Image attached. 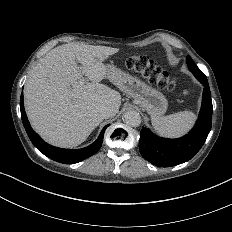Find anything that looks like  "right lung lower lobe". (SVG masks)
I'll return each mask as SVG.
<instances>
[{
    "instance_id": "obj_1",
    "label": "right lung lower lobe",
    "mask_w": 232,
    "mask_h": 232,
    "mask_svg": "<svg viewBox=\"0 0 232 232\" xmlns=\"http://www.w3.org/2000/svg\"><path fill=\"white\" fill-rule=\"evenodd\" d=\"M20 109H21V118H22L24 128L30 140L32 141L33 145L48 158L54 161L60 162V163H64V164L77 163L94 155L100 149L102 142H103L105 130L109 126V125H106L102 129L97 140L88 147H85L83 149H78V150L62 149V148H57V147L47 144L39 137L37 133H35L32 130L30 123L28 121V118L26 116L25 110H24L23 93L21 94V99H20Z\"/></svg>"
}]
</instances>
